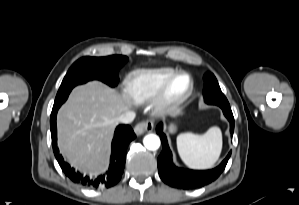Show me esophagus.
<instances>
[{"instance_id": "esophagus-1", "label": "esophagus", "mask_w": 299, "mask_h": 205, "mask_svg": "<svg viewBox=\"0 0 299 205\" xmlns=\"http://www.w3.org/2000/svg\"><path fill=\"white\" fill-rule=\"evenodd\" d=\"M153 129V123L150 121H142L140 123H138L135 127H134V132L136 135H141L147 131H151Z\"/></svg>"}]
</instances>
